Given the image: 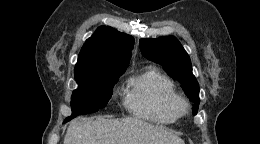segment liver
Returning <instances> with one entry per match:
<instances>
[{
  "label": "liver",
  "mask_w": 260,
  "mask_h": 144,
  "mask_svg": "<svg viewBox=\"0 0 260 144\" xmlns=\"http://www.w3.org/2000/svg\"><path fill=\"white\" fill-rule=\"evenodd\" d=\"M64 144H184V141L162 126L137 118L79 117L70 123Z\"/></svg>",
  "instance_id": "liver-1"
}]
</instances>
